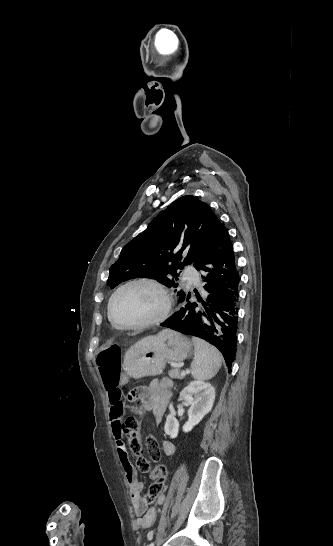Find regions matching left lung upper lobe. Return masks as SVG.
<instances>
[{"label": "left lung upper lobe", "mask_w": 333, "mask_h": 546, "mask_svg": "<svg viewBox=\"0 0 333 546\" xmlns=\"http://www.w3.org/2000/svg\"><path fill=\"white\" fill-rule=\"evenodd\" d=\"M217 222L205 202L190 195L177 199L125 245L110 267L107 284L114 288L132 278L149 277L176 288L178 272L195 265L206 252Z\"/></svg>", "instance_id": "1"}]
</instances>
